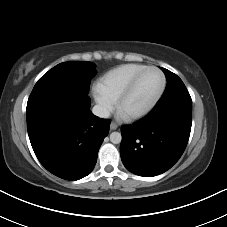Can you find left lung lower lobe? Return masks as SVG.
I'll list each match as a JSON object with an SVG mask.
<instances>
[{"label": "left lung lower lobe", "instance_id": "0a47b994", "mask_svg": "<svg viewBox=\"0 0 227 227\" xmlns=\"http://www.w3.org/2000/svg\"><path fill=\"white\" fill-rule=\"evenodd\" d=\"M191 125V104L156 105L140 121L121 128L120 155L124 166L144 177L169 170L186 148Z\"/></svg>", "mask_w": 227, "mask_h": 227}]
</instances>
